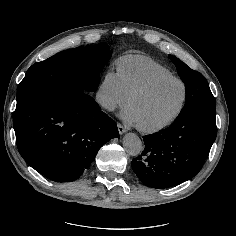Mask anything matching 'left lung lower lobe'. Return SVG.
Listing matches in <instances>:
<instances>
[{
    "mask_svg": "<svg viewBox=\"0 0 236 236\" xmlns=\"http://www.w3.org/2000/svg\"><path fill=\"white\" fill-rule=\"evenodd\" d=\"M217 134L215 113L193 111L143 137L145 148L131 165L140 181L168 188L193 178L202 168Z\"/></svg>",
    "mask_w": 236,
    "mask_h": 236,
    "instance_id": "1",
    "label": "left lung lower lobe"
}]
</instances>
